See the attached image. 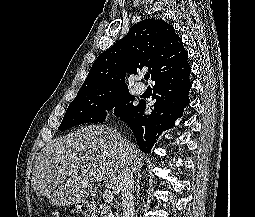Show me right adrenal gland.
<instances>
[{
	"label": "right adrenal gland",
	"instance_id": "1",
	"mask_svg": "<svg viewBox=\"0 0 255 217\" xmlns=\"http://www.w3.org/2000/svg\"><path fill=\"white\" fill-rule=\"evenodd\" d=\"M140 179H141V176L138 175V178L136 180V187H137L136 196H137L138 199L140 198Z\"/></svg>",
	"mask_w": 255,
	"mask_h": 217
}]
</instances>
